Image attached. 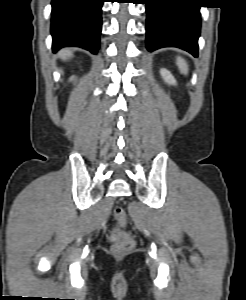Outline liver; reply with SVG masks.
Masks as SVG:
<instances>
[{
  "label": "liver",
  "mask_w": 246,
  "mask_h": 300,
  "mask_svg": "<svg viewBox=\"0 0 246 300\" xmlns=\"http://www.w3.org/2000/svg\"><path fill=\"white\" fill-rule=\"evenodd\" d=\"M71 56H72V52L68 49H64L60 52V57L64 60L71 57Z\"/></svg>",
  "instance_id": "6515ba94"
}]
</instances>
